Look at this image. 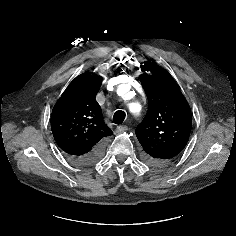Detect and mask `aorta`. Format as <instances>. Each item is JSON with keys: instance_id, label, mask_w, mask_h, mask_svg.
<instances>
[{"instance_id": "1", "label": "aorta", "mask_w": 236, "mask_h": 236, "mask_svg": "<svg viewBox=\"0 0 236 236\" xmlns=\"http://www.w3.org/2000/svg\"><path fill=\"white\" fill-rule=\"evenodd\" d=\"M136 107H138V105H137V104H133V105H131L130 110H131L132 112H134V108H136Z\"/></svg>"}]
</instances>
